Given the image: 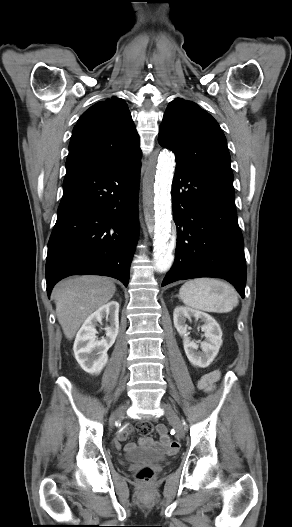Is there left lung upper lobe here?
Returning a JSON list of instances; mask_svg holds the SVG:
<instances>
[{"instance_id":"obj_1","label":"left lung upper lobe","mask_w":292,"mask_h":527,"mask_svg":"<svg viewBox=\"0 0 292 527\" xmlns=\"http://www.w3.org/2000/svg\"><path fill=\"white\" fill-rule=\"evenodd\" d=\"M158 141L175 153L180 167L233 178L227 142L220 126L192 101L176 98L169 103Z\"/></svg>"}]
</instances>
